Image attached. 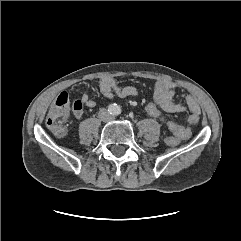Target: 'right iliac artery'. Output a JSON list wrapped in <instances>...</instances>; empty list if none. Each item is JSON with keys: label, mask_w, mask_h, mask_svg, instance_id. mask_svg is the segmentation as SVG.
<instances>
[{"label": "right iliac artery", "mask_w": 241, "mask_h": 241, "mask_svg": "<svg viewBox=\"0 0 241 241\" xmlns=\"http://www.w3.org/2000/svg\"><path fill=\"white\" fill-rule=\"evenodd\" d=\"M108 110H109L111 113H113V112L115 111V106L110 105L109 108H108Z\"/></svg>", "instance_id": "82829eb1"}]
</instances>
